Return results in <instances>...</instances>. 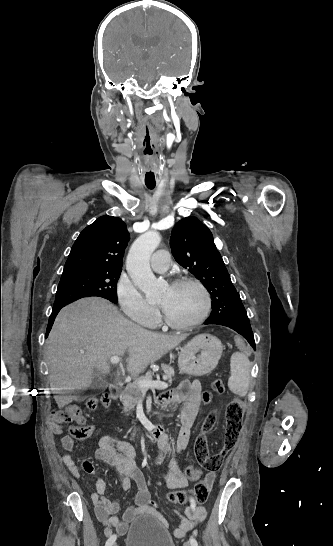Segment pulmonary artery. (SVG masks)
I'll return each mask as SVG.
<instances>
[{"label":"pulmonary artery","mask_w":333,"mask_h":546,"mask_svg":"<svg viewBox=\"0 0 333 546\" xmlns=\"http://www.w3.org/2000/svg\"><path fill=\"white\" fill-rule=\"evenodd\" d=\"M151 268L159 273L166 272L170 265V255L166 250L156 251L150 261Z\"/></svg>","instance_id":"pulmonary-artery-1"}]
</instances>
